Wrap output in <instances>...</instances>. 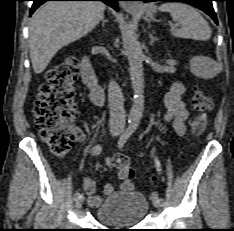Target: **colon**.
Instances as JSON below:
<instances>
[{
  "mask_svg": "<svg viewBox=\"0 0 234 231\" xmlns=\"http://www.w3.org/2000/svg\"><path fill=\"white\" fill-rule=\"evenodd\" d=\"M77 70L78 60L74 55L65 57L49 69L34 105L35 122L40 135L58 156L66 154L75 140L72 123L78 117L74 103ZM192 103L196 111L192 131L200 135L208 127L213 103L201 87L194 89ZM113 163L119 171L120 179L133 178L134 171L128 156L118 154Z\"/></svg>",
  "mask_w": 234,
  "mask_h": 231,
  "instance_id": "colon-1",
  "label": "colon"
}]
</instances>
